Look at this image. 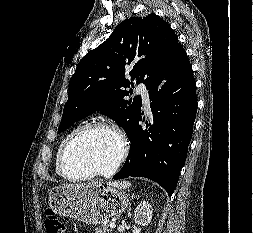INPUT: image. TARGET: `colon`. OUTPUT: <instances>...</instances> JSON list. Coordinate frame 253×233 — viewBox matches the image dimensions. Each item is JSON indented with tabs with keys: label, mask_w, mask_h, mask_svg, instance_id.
<instances>
[{
	"label": "colon",
	"mask_w": 253,
	"mask_h": 233,
	"mask_svg": "<svg viewBox=\"0 0 253 233\" xmlns=\"http://www.w3.org/2000/svg\"><path fill=\"white\" fill-rule=\"evenodd\" d=\"M44 226L47 233H66L64 224L51 209L46 211Z\"/></svg>",
	"instance_id": "obj_1"
}]
</instances>
